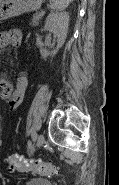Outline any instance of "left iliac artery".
Returning <instances> with one entry per match:
<instances>
[{"label": "left iliac artery", "mask_w": 119, "mask_h": 185, "mask_svg": "<svg viewBox=\"0 0 119 185\" xmlns=\"http://www.w3.org/2000/svg\"><path fill=\"white\" fill-rule=\"evenodd\" d=\"M36 138H37V134H36V132H32V139H33V141H35L36 140Z\"/></svg>", "instance_id": "1"}]
</instances>
